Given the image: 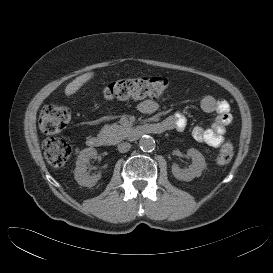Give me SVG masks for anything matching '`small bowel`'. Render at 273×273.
Returning <instances> with one entry per match:
<instances>
[{
	"label": "small bowel",
	"mask_w": 273,
	"mask_h": 273,
	"mask_svg": "<svg viewBox=\"0 0 273 273\" xmlns=\"http://www.w3.org/2000/svg\"><path fill=\"white\" fill-rule=\"evenodd\" d=\"M201 109L206 113H215L209 127L196 126L192 130L194 139L213 148H219L225 141L227 127L231 122L230 105L225 99L206 95L201 99ZM138 109L145 115L157 112L158 104L153 100H144L139 103ZM168 130L183 132L187 127V119L181 112L167 117L162 122Z\"/></svg>",
	"instance_id": "small-bowel-1"
}]
</instances>
